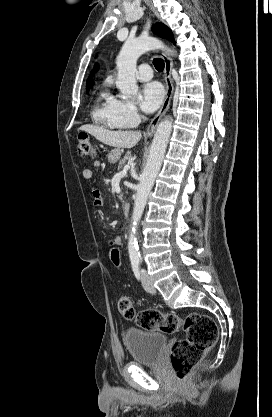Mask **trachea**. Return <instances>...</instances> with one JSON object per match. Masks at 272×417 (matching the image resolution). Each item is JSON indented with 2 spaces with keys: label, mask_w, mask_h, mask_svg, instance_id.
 Listing matches in <instances>:
<instances>
[{
  "label": "trachea",
  "mask_w": 272,
  "mask_h": 417,
  "mask_svg": "<svg viewBox=\"0 0 272 417\" xmlns=\"http://www.w3.org/2000/svg\"><path fill=\"white\" fill-rule=\"evenodd\" d=\"M153 64H154L157 71H159V72L163 71L165 64H164V61L161 58H155L153 60Z\"/></svg>",
  "instance_id": "1"
}]
</instances>
